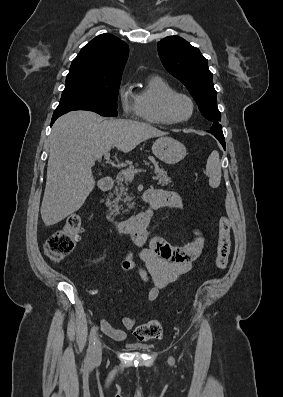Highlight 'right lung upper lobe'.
<instances>
[{
	"instance_id": "cb5924a9",
	"label": "right lung upper lobe",
	"mask_w": 283,
	"mask_h": 397,
	"mask_svg": "<svg viewBox=\"0 0 283 397\" xmlns=\"http://www.w3.org/2000/svg\"><path fill=\"white\" fill-rule=\"evenodd\" d=\"M129 47L119 38L105 33L85 45L72 61L69 74L102 79H121Z\"/></svg>"
}]
</instances>
